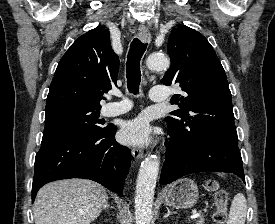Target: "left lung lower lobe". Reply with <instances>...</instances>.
Here are the masks:
<instances>
[{"label": "left lung lower lobe", "mask_w": 275, "mask_h": 224, "mask_svg": "<svg viewBox=\"0 0 275 224\" xmlns=\"http://www.w3.org/2000/svg\"><path fill=\"white\" fill-rule=\"evenodd\" d=\"M165 162L160 183L168 184L197 172H230L244 182L238 137L198 131L182 135L168 127Z\"/></svg>", "instance_id": "obj_1"}]
</instances>
